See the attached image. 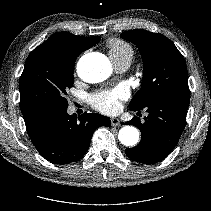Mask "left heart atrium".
<instances>
[{"instance_id": "39dd6f15", "label": "left heart atrium", "mask_w": 211, "mask_h": 211, "mask_svg": "<svg viewBox=\"0 0 211 211\" xmlns=\"http://www.w3.org/2000/svg\"><path fill=\"white\" fill-rule=\"evenodd\" d=\"M127 97V92L123 88L102 91L92 99V105L97 110L104 113H113L120 108V101Z\"/></svg>"}]
</instances>
